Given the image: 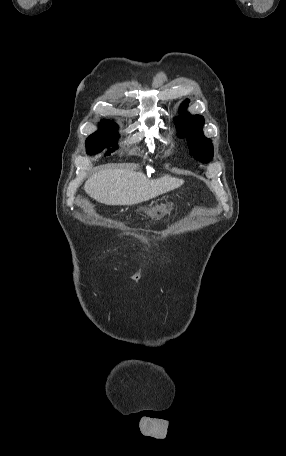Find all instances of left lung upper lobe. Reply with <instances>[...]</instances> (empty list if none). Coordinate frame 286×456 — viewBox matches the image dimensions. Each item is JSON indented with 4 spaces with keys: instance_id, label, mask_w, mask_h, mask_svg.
Returning a JSON list of instances; mask_svg holds the SVG:
<instances>
[{
    "instance_id": "5c2ea615",
    "label": "left lung upper lobe",
    "mask_w": 286,
    "mask_h": 456,
    "mask_svg": "<svg viewBox=\"0 0 286 456\" xmlns=\"http://www.w3.org/2000/svg\"><path fill=\"white\" fill-rule=\"evenodd\" d=\"M188 100L181 104L182 115L175 118V125L180 138H187L190 154L202 162H209L213 157V145L210 139L203 135V117L190 115L186 112Z\"/></svg>"
}]
</instances>
